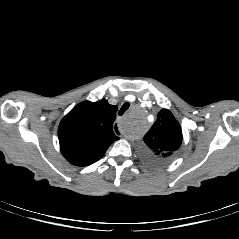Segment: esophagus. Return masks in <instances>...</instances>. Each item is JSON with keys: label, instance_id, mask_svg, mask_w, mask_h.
Returning <instances> with one entry per match:
<instances>
[{"label": "esophagus", "instance_id": "esophagus-1", "mask_svg": "<svg viewBox=\"0 0 239 239\" xmlns=\"http://www.w3.org/2000/svg\"><path fill=\"white\" fill-rule=\"evenodd\" d=\"M114 131H116V133L118 134L119 137L123 136V130L122 128H120V125L118 123H115L113 126Z\"/></svg>", "mask_w": 239, "mask_h": 239}]
</instances>
